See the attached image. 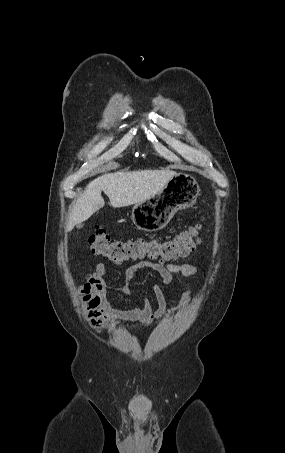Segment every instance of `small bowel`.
I'll use <instances>...</instances> for the list:
<instances>
[{
	"instance_id": "1",
	"label": "small bowel",
	"mask_w": 285,
	"mask_h": 453,
	"mask_svg": "<svg viewBox=\"0 0 285 453\" xmlns=\"http://www.w3.org/2000/svg\"><path fill=\"white\" fill-rule=\"evenodd\" d=\"M143 268H150L157 272L164 284H169L175 274L184 277L193 276L197 269L191 264H174L159 261L152 263L140 261L125 271V284L118 290L129 296L131 294V281L136 272ZM106 271L102 263H98L93 272L86 275L87 281L79 285L81 293L80 302L82 313L91 326L99 333L114 327L121 321L140 322L142 325H150L155 320L178 314L189 307L192 289L188 288L182 295L179 303L168 309L166 299L159 286L153 285L152 292L156 302V310H153L151 302L144 299L142 303L133 309L120 310L107 300L108 285L105 281Z\"/></svg>"
}]
</instances>
